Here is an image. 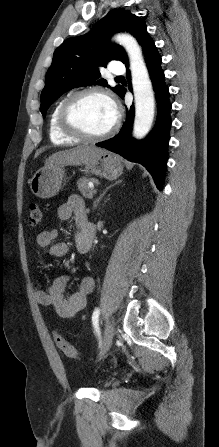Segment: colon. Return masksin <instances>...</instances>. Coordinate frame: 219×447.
I'll list each match as a JSON object with an SVG mask.
<instances>
[{
	"label": "colon",
	"instance_id": "1",
	"mask_svg": "<svg viewBox=\"0 0 219 447\" xmlns=\"http://www.w3.org/2000/svg\"><path fill=\"white\" fill-rule=\"evenodd\" d=\"M30 214H29V223L31 226H37L40 224L42 220V211L38 204H31L29 207ZM54 339L56 342L57 347L65 354V356L77 359L79 357L78 350L71 345L69 342H67L60 334L56 333L54 335Z\"/></svg>",
	"mask_w": 219,
	"mask_h": 447
}]
</instances>
